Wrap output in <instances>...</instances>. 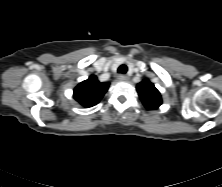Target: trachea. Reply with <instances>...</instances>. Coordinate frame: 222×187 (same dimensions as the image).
I'll list each match as a JSON object with an SVG mask.
<instances>
[{
  "label": "trachea",
  "mask_w": 222,
  "mask_h": 187,
  "mask_svg": "<svg viewBox=\"0 0 222 187\" xmlns=\"http://www.w3.org/2000/svg\"><path fill=\"white\" fill-rule=\"evenodd\" d=\"M127 72V66L125 64H122L118 68V73L125 74Z\"/></svg>",
  "instance_id": "1"
}]
</instances>
